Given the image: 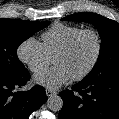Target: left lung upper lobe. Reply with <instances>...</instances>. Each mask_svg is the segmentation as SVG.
Here are the masks:
<instances>
[{
	"mask_svg": "<svg viewBox=\"0 0 119 119\" xmlns=\"http://www.w3.org/2000/svg\"><path fill=\"white\" fill-rule=\"evenodd\" d=\"M66 21H84L93 24L101 37L97 63L84 79L119 75V24L91 12H80L63 18Z\"/></svg>",
	"mask_w": 119,
	"mask_h": 119,
	"instance_id": "left-lung-upper-lobe-1",
	"label": "left lung upper lobe"
}]
</instances>
